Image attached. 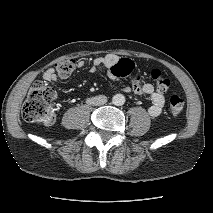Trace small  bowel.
Segmentation results:
<instances>
[{
  "instance_id": "c3829d8e",
  "label": "small bowel",
  "mask_w": 213,
  "mask_h": 213,
  "mask_svg": "<svg viewBox=\"0 0 213 213\" xmlns=\"http://www.w3.org/2000/svg\"><path fill=\"white\" fill-rule=\"evenodd\" d=\"M119 60L120 58L114 54H107L97 57L92 62L90 71L92 73H95L99 69L104 68L110 77L116 78L112 74L111 69ZM84 65L85 63L83 60H78L77 62H75L76 68H82L84 67ZM58 78L59 74L54 68H49L43 73V79L48 82H55ZM123 90L125 92H133L134 94L139 96L149 97L151 101V105L148 108L149 115L152 117H157L161 114L165 104L164 95L161 92L157 91L151 83L142 81L139 74L132 75L130 85L125 86Z\"/></svg>"
}]
</instances>
